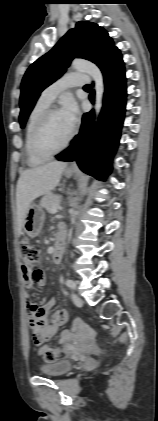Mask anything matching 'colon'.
Instances as JSON below:
<instances>
[{"instance_id":"obj_1","label":"colon","mask_w":158,"mask_h":421,"mask_svg":"<svg viewBox=\"0 0 158 421\" xmlns=\"http://www.w3.org/2000/svg\"><path fill=\"white\" fill-rule=\"evenodd\" d=\"M19 250L22 260V267L25 271H34L39 263V252L28 238L21 239ZM59 350L50 346H42L39 348L40 357L48 363L56 361L59 357Z\"/></svg>"}]
</instances>
